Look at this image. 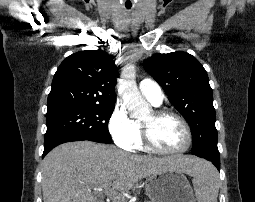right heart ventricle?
<instances>
[{"mask_svg":"<svg viewBox=\"0 0 255 202\" xmlns=\"http://www.w3.org/2000/svg\"><path fill=\"white\" fill-rule=\"evenodd\" d=\"M135 124H136V130H137V137H136L134 148L143 149L144 146H143L142 133H141V124L138 121H136Z\"/></svg>","mask_w":255,"mask_h":202,"instance_id":"obj_1","label":"right heart ventricle"}]
</instances>
